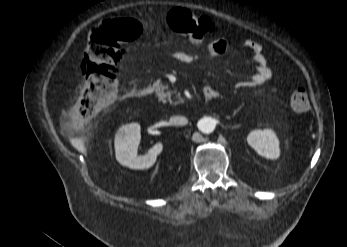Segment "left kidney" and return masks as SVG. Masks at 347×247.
<instances>
[{"label":"left kidney","mask_w":347,"mask_h":247,"mask_svg":"<svg viewBox=\"0 0 347 247\" xmlns=\"http://www.w3.org/2000/svg\"><path fill=\"white\" fill-rule=\"evenodd\" d=\"M247 142L262 157L273 160L280 156L279 140L271 129L252 131Z\"/></svg>","instance_id":"obj_1"}]
</instances>
